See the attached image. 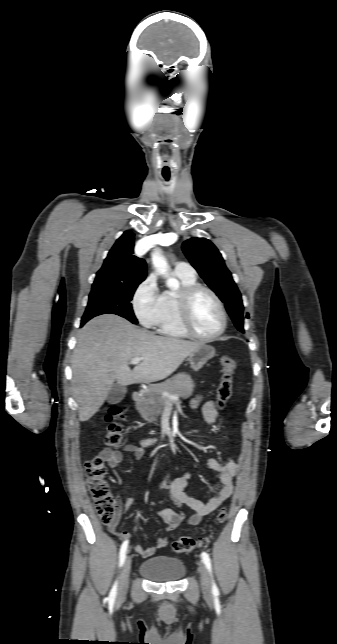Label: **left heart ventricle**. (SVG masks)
Returning a JSON list of instances; mask_svg holds the SVG:
<instances>
[{"label": "left heart ventricle", "mask_w": 337, "mask_h": 644, "mask_svg": "<svg viewBox=\"0 0 337 644\" xmlns=\"http://www.w3.org/2000/svg\"><path fill=\"white\" fill-rule=\"evenodd\" d=\"M191 317L194 329L203 336L216 333L222 322L217 303L206 292L199 293L194 299Z\"/></svg>", "instance_id": "left-heart-ventricle-1"}]
</instances>
